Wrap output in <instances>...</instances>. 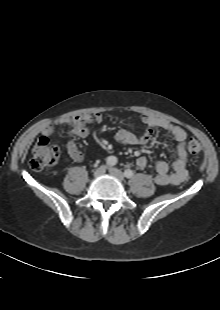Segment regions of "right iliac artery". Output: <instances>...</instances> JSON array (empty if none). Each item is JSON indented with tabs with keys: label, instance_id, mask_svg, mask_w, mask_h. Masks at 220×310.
<instances>
[{
	"label": "right iliac artery",
	"instance_id": "1",
	"mask_svg": "<svg viewBox=\"0 0 220 310\" xmlns=\"http://www.w3.org/2000/svg\"><path fill=\"white\" fill-rule=\"evenodd\" d=\"M106 163H107L108 166H114L117 163V158L114 157V156H109L106 159Z\"/></svg>",
	"mask_w": 220,
	"mask_h": 310
}]
</instances>
